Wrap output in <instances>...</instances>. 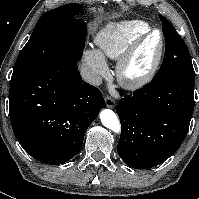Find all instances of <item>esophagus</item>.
Here are the masks:
<instances>
[{
	"instance_id": "34e87169",
	"label": "esophagus",
	"mask_w": 199,
	"mask_h": 199,
	"mask_svg": "<svg viewBox=\"0 0 199 199\" xmlns=\"http://www.w3.org/2000/svg\"><path fill=\"white\" fill-rule=\"evenodd\" d=\"M105 104L107 107L109 108H114L116 105V102L114 101V99H112L110 96H107L105 98Z\"/></svg>"
}]
</instances>
